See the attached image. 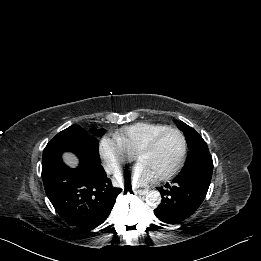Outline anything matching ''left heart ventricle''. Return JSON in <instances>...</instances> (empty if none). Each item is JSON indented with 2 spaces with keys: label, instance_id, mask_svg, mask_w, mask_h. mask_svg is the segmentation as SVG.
Wrapping results in <instances>:
<instances>
[{
  "label": "left heart ventricle",
  "instance_id": "left-heart-ventricle-1",
  "mask_svg": "<svg viewBox=\"0 0 261 261\" xmlns=\"http://www.w3.org/2000/svg\"><path fill=\"white\" fill-rule=\"evenodd\" d=\"M180 153V137L176 133H167L159 139L153 150L142 155L138 162L144 164L157 177L176 165Z\"/></svg>",
  "mask_w": 261,
  "mask_h": 261
}]
</instances>
